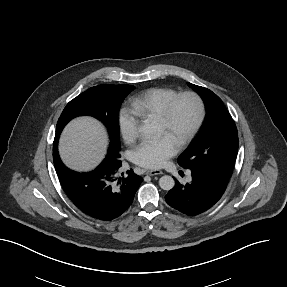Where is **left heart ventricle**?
I'll use <instances>...</instances> for the list:
<instances>
[{
    "instance_id": "b2bd125f",
    "label": "left heart ventricle",
    "mask_w": 287,
    "mask_h": 287,
    "mask_svg": "<svg viewBox=\"0 0 287 287\" xmlns=\"http://www.w3.org/2000/svg\"><path fill=\"white\" fill-rule=\"evenodd\" d=\"M195 116L196 108L194 103L188 98L182 99L175 107L170 128L165 129L158 123V134L167 136L177 145L193 124Z\"/></svg>"
}]
</instances>
